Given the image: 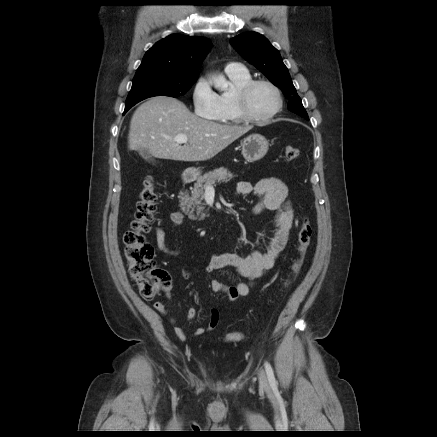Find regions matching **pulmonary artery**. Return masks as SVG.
Segmentation results:
<instances>
[{
	"instance_id": "pulmonary-artery-1",
	"label": "pulmonary artery",
	"mask_w": 437,
	"mask_h": 437,
	"mask_svg": "<svg viewBox=\"0 0 437 437\" xmlns=\"http://www.w3.org/2000/svg\"><path fill=\"white\" fill-rule=\"evenodd\" d=\"M241 69H244V67L239 63H229L225 67L226 71H235V70H241Z\"/></svg>"
}]
</instances>
